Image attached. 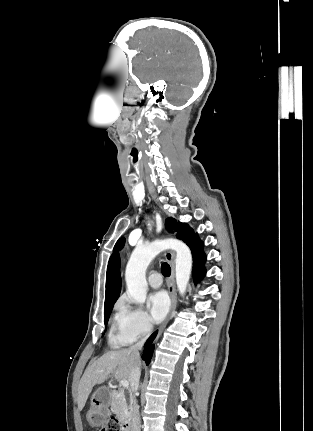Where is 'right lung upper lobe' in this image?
<instances>
[{
  "mask_svg": "<svg viewBox=\"0 0 313 431\" xmlns=\"http://www.w3.org/2000/svg\"><path fill=\"white\" fill-rule=\"evenodd\" d=\"M121 291L120 257L114 252L109 259L106 276L105 308L114 305Z\"/></svg>",
  "mask_w": 313,
  "mask_h": 431,
  "instance_id": "1",
  "label": "right lung upper lobe"
}]
</instances>
